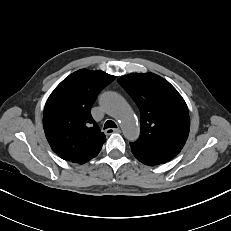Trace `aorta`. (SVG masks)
<instances>
[{
	"label": "aorta",
	"instance_id": "1",
	"mask_svg": "<svg viewBox=\"0 0 231 231\" xmlns=\"http://www.w3.org/2000/svg\"><path fill=\"white\" fill-rule=\"evenodd\" d=\"M100 105L106 113L119 121L126 139L137 140L140 134L139 127L130 106L121 95L115 92L104 93L100 98Z\"/></svg>",
	"mask_w": 231,
	"mask_h": 231
}]
</instances>
